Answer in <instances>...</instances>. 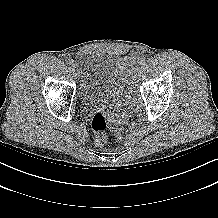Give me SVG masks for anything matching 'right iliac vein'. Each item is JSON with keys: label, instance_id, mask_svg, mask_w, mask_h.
I'll return each instance as SVG.
<instances>
[{"label": "right iliac vein", "instance_id": "63e3f726", "mask_svg": "<svg viewBox=\"0 0 218 218\" xmlns=\"http://www.w3.org/2000/svg\"><path fill=\"white\" fill-rule=\"evenodd\" d=\"M71 68H72V71L74 72V74L77 75V65L72 64Z\"/></svg>", "mask_w": 218, "mask_h": 218}]
</instances>
